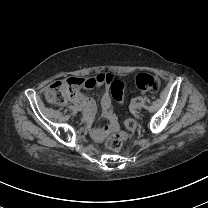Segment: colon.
I'll return each instance as SVG.
<instances>
[{
	"label": "colon",
	"instance_id": "5ec220e1",
	"mask_svg": "<svg viewBox=\"0 0 208 208\" xmlns=\"http://www.w3.org/2000/svg\"><path fill=\"white\" fill-rule=\"evenodd\" d=\"M76 83L74 84L69 79H60L57 82L52 83L47 89V98L54 105H63L66 102L71 101L80 88L88 89L92 86L98 85L99 83H108L109 90L112 98L118 102L123 103L124 92L126 85L124 81L119 78H114L113 73H100L95 77L88 80L72 78ZM135 84L140 91L143 92H154L157 88L156 79L145 73H139L135 77ZM124 128L128 132H133L137 128V123L133 119H128L124 123ZM124 135H111L107 140V147L110 149H119L122 145Z\"/></svg>",
	"mask_w": 208,
	"mask_h": 208
}]
</instances>
